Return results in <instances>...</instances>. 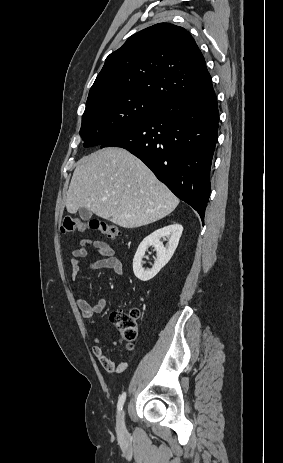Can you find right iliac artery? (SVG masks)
Instances as JSON below:
<instances>
[{
    "label": "right iliac artery",
    "instance_id": "82829eb1",
    "mask_svg": "<svg viewBox=\"0 0 283 463\" xmlns=\"http://www.w3.org/2000/svg\"><path fill=\"white\" fill-rule=\"evenodd\" d=\"M125 399H126V393L124 392V393L119 397V400H118V404H117V409H118V411L122 410V407H123V405H124Z\"/></svg>",
    "mask_w": 283,
    "mask_h": 463
}]
</instances>
